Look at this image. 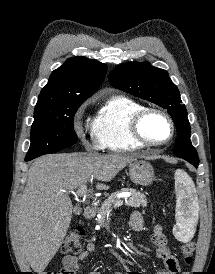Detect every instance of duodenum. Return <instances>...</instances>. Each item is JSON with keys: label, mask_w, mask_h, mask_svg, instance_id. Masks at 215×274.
Here are the masks:
<instances>
[{"label": "duodenum", "mask_w": 215, "mask_h": 274, "mask_svg": "<svg viewBox=\"0 0 215 274\" xmlns=\"http://www.w3.org/2000/svg\"><path fill=\"white\" fill-rule=\"evenodd\" d=\"M96 213V208L93 205H89L84 210V217L86 219H91L94 217Z\"/></svg>", "instance_id": "410a0bca"}]
</instances>
